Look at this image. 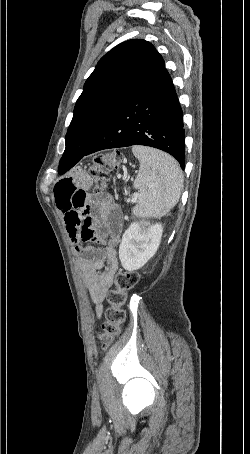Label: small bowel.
<instances>
[{
    "instance_id": "small-bowel-1",
    "label": "small bowel",
    "mask_w": 250,
    "mask_h": 454,
    "mask_svg": "<svg viewBox=\"0 0 250 454\" xmlns=\"http://www.w3.org/2000/svg\"><path fill=\"white\" fill-rule=\"evenodd\" d=\"M91 184V177L86 172L78 171L76 175L57 182L54 196L63 214L68 236L81 256L83 278L96 305V314L100 317L102 301L113 286L118 269L115 246L122 233L123 217L108 194L88 192ZM95 243L103 247H96Z\"/></svg>"
}]
</instances>
